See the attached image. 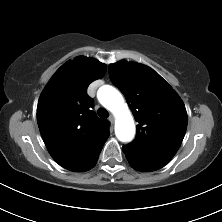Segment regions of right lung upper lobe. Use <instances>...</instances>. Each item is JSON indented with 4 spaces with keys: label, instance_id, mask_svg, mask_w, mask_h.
<instances>
[{
    "label": "right lung upper lobe",
    "instance_id": "obj_1",
    "mask_svg": "<svg viewBox=\"0 0 222 222\" xmlns=\"http://www.w3.org/2000/svg\"><path fill=\"white\" fill-rule=\"evenodd\" d=\"M105 73V64L76 57L56 71L39 98L37 121L42 138L53 159L70 171L91 169L109 137L108 122L91 110L93 99L86 92Z\"/></svg>",
    "mask_w": 222,
    "mask_h": 222
}]
</instances>
